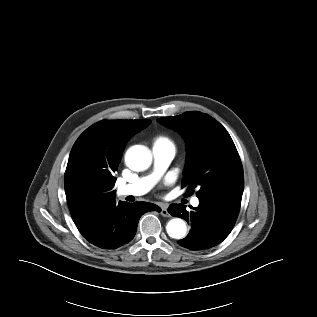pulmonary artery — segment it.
Masks as SVG:
<instances>
[{"mask_svg":"<svg viewBox=\"0 0 317 317\" xmlns=\"http://www.w3.org/2000/svg\"><path fill=\"white\" fill-rule=\"evenodd\" d=\"M154 158V170L151 174L141 177L133 183L123 184L118 187L119 196H141L147 193L159 180L175 156L173 145L155 142L152 147ZM194 207L199 205V200L194 197L191 200Z\"/></svg>","mask_w":317,"mask_h":317,"instance_id":"e3ab8cb5","label":"pulmonary artery"}]
</instances>
